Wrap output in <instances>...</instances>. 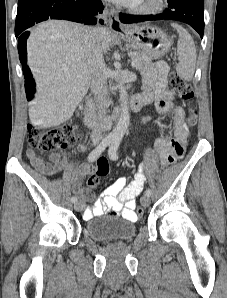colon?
<instances>
[{"instance_id": "obj_1", "label": "colon", "mask_w": 227, "mask_h": 298, "mask_svg": "<svg viewBox=\"0 0 227 298\" xmlns=\"http://www.w3.org/2000/svg\"><path fill=\"white\" fill-rule=\"evenodd\" d=\"M170 84L179 96L191 104L194 98L192 87L177 73L170 75ZM26 95L29 99H33L36 94V83L31 74H28L25 80ZM197 110L190 106L188 113V123L194 126L197 123ZM80 137L77 130L73 126H64L58 130H48L39 132L33 125L28 127V142L29 145L42 153L58 154L61 150L66 149L79 141ZM169 157V156H168ZM172 163V162H168ZM108 163L104 159H99L97 162V174L93 175L88 180V185L95 188L99 185V177L108 174ZM138 218H144L141 208H137Z\"/></svg>"}]
</instances>
